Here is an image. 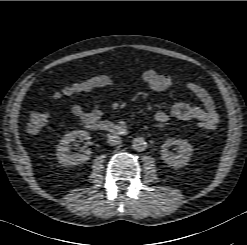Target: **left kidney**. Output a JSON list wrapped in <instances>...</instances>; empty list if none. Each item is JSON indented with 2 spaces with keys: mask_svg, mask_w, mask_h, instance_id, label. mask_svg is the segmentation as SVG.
<instances>
[{
  "mask_svg": "<svg viewBox=\"0 0 247 245\" xmlns=\"http://www.w3.org/2000/svg\"><path fill=\"white\" fill-rule=\"evenodd\" d=\"M171 145H177L179 151L176 154L168 151ZM192 151V146L186 140L168 138L161 146V158L169 166L181 168L189 162Z\"/></svg>",
  "mask_w": 247,
  "mask_h": 245,
  "instance_id": "left-kidney-1",
  "label": "left kidney"
}]
</instances>
